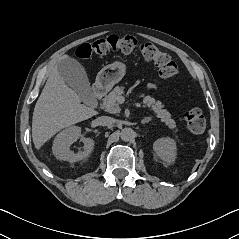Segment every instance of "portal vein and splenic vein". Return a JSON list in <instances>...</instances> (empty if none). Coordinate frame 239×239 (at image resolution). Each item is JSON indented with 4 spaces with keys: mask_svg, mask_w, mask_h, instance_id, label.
<instances>
[{
    "mask_svg": "<svg viewBox=\"0 0 239 239\" xmlns=\"http://www.w3.org/2000/svg\"><path fill=\"white\" fill-rule=\"evenodd\" d=\"M118 101H119V103H124V97H120L119 99H118Z\"/></svg>",
    "mask_w": 239,
    "mask_h": 239,
    "instance_id": "portal-vein-and-splenic-vein-1",
    "label": "portal vein and splenic vein"
}]
</instances>
